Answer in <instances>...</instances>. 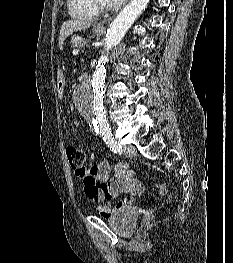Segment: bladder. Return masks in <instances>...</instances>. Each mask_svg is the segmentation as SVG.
Listing matches in <instances>:
<instances>
[{
  "label": "bladder",
  "instance_id": "obj_1",
  "mask_svg": "<svg viewBox=\"0 0 233 263\" xmlns=\"http://www.w3.org/2000/svg\"><path fill=\"white\" fill-rule=\"evenodd\" d=\"M107 222L117 233L131 236L137 226L138 214L132 208L118 209L107 218Z\"/></svg>",
  "mask_w": 233,
  "mask_h": 263
}]
</instances>
